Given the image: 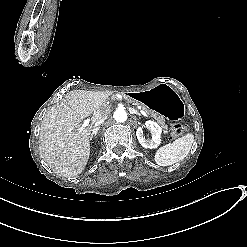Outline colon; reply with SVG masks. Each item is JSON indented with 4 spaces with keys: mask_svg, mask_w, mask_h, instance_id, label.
<instances>
[{
    "mask_svg": "<svg viewBox=\"0 0 247 247\" xmlns=\"http://www.w3.org/2000/svg\"><path fill=\"white\" fill-rule=\"evenodd\" d=\"M184 131L185 127L182 123H175L172 125L170 134L172 138H178L184 133Z\"/></svg>",
    "mask_w": 247,
    "mask_h": 247,
    "instance_id": "obj_1",
    "label": "colon"
}]
</instances>
